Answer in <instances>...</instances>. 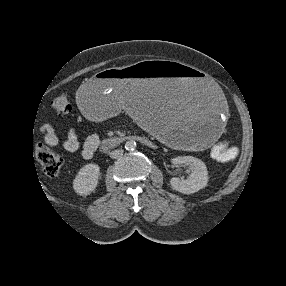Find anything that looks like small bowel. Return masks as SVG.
I'll return each mask as SVG.
<instances>
[{
	"mask_svg": "<svg viewBox=\"0 0 286 286\" xmlns=\"http://www.w3.org/2000/svg\"><path fill=\"white\" fill-rule=\"evenodd\" d=\"M41 132L44 134L45 141L49 145H56L59 141L57 134L49 124L41 126ZM100 140L97 133L89 135L84 141H80L75 129L71 128L66 131L63 137L62 145L70 153L79 152L84 159H90L98 149ZM231 158H234L237 150L229 147ZM229 159V160H230Z\"/></svg>",
	"mask_w": 286,
	"mask_h": 286,
	"instance_id": "obj_1",
	"label": "small bowel"
}]
</instances>
